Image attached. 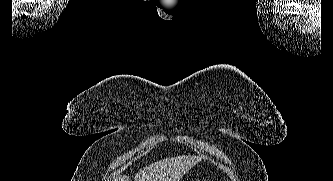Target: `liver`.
<instances>
[{
	"mask_svg": "<svg viewBox=\"0 0 333 181\" xmlns=\"http://www.w3.org/2000/svg\"><path fill=\"white\" fill-rule=\"evenodd\" d=\"M196 156H179L155 162L135 174L134 181H180L198 162ZM113 181H130L129 176H116Z\"/></svg>",
	"mask_w": 333,
	"mask_h": 181,
	"instance_id": "liver-1",
	"label": "liver"
}]
</instances>
